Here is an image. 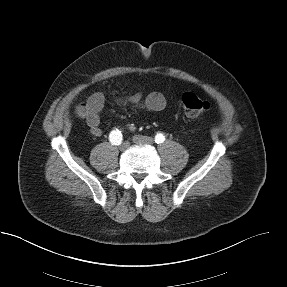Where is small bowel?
Here are the masks:
<instances>
[{"mask_svg":"<svg viewBox=\"0 0 287 287\" xmlns=\"http://www.w3.org/2000/svg\"><path fill=\"white\" fill-rule=\"evenodd\" d=\"M119 104L130 105L140 110L159 112L166 106V100L161 93L152 92L144 95L141 92L124 94L118 99ZM105 105V96L101 92L92 94L86 103L84 118L94 136H101L103 130L100 125V115Z\"/></svg>","mask_w":287,"mask_h":287,"instance_id":"obj_1","label":"small bowel"}]
</instances>
